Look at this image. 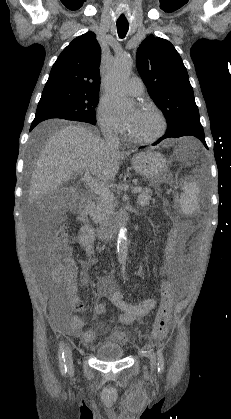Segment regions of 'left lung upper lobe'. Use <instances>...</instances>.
<instances>
[{"instance_id": "obj_1", "label": "left lung upper lobe", "mask_w": 231, "mask_h": 419, "mask_svg": "<svg viewBox=\"0 0 231 419\" xmlns=\"http://www.w3.org/2000/svg\"><path fill=\"white\" fill-rule=\"evenodd\" d=\"M136 62L149 95L167 119L166 134L201 125L187 70L172 43L148 36L137 50Z\"/></svg>"}]
</instances>
